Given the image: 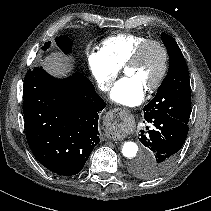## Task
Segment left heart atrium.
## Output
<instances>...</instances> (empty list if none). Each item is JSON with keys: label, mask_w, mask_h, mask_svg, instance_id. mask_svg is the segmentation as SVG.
I'll list each match as a JSON object with an SVG mask.
<instances>
[{"label": "left heart atrium", "mask_w": 211, "mask_h": 211, "mask_svg": "<svg viewBox=\"0 0 211 211\" xmlns=\"http://www.w3.org/2000/svg\"><path fill=\"white\" fill-rule=\"evenodd\" d=\"M144 95V87L135 78L125 77L114 85L110 98L120 105L135 106L143 100Z\"/></svg>", "instance_id": "39dd6f15"}]
</instances>
